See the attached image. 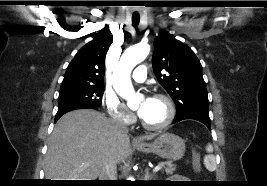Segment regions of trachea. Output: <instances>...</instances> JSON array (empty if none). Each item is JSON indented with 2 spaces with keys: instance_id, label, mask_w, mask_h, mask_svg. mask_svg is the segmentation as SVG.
<instances>
[{
  "instance_id": "1",
  "label": "trachea",
  "mask_w": 267,
  "mask_h": 186,
  "mask_svg": "<svg viewBox=\"0 0 267 186\" xmlns=\"http://www.w3.org/2000/svg\"><path fill=\"white\" fill-rule=\"evenodd\" d=\"M140 22V17L139 16H133L132 17V23L133 25H138Z\"/></svg>"
}]
</instances>
